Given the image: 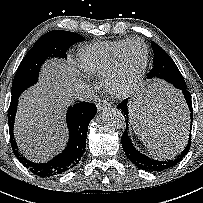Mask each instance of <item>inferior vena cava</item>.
I'll list each match as a JSON object with an SVG mask.
<instances>
[{"label":"inferior vena cava","mask_w":203,"mask_h":203,"mask_svg":"<svg viewBox=\"0 0 203 203\" xmlns=\"http://www.w3.org/2000/svg\"><path fill=\"white\" fill-rule=\"evenodd\" d=\"M73 98L80 101H90L93 99L91 89L83 84H77L72 91Z\"/></svg>","instance_id":"1"}]
</instances>
